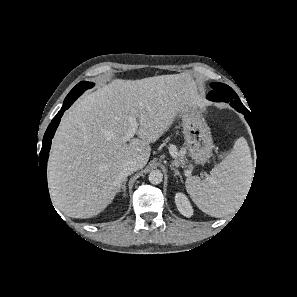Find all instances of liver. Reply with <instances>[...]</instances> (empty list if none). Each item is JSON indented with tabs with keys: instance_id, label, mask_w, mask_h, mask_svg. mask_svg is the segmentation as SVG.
Masks as SVG:
<instances>
[{
	"instance_id": "obj_1",
	"label": "liver",
	"mask_w": 297,
	"mask_h": 297,
	"mask_svg": "<svg viewBox=\"0 0 297 297\" xmlns=\"http://www.w3.org/2000/svg\"><path fill=\"white\" fill-rule=\"evenodd\" d=\"M196 96L180 74L141 80L116 79L84 95L61 119L48 161L53 204L72 218H90L112 202L128 160L143 168L150 143L166 132ZM130 118L139 122L138 138L123 137Z\"/></svg>"
}]
</instances>
